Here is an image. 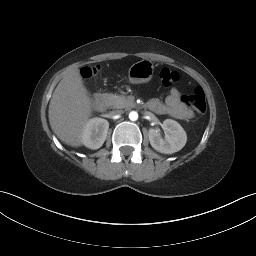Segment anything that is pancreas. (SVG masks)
<instances>
[{
  "instance_id": "obj_1",
  "label": "pancreas",
  "mask_w": 256,
  "mask_h": 256,
  "mask_svg": "<svg viewBox=\"0 0 256 256\" xmlns=\"http://www.w3.org/2000/svg\"><path fill=\"white\" fill-rule=\"evenodd\" d=\"M104 97L108 105L112 108H125L131 105V100L124 95L106 93Z\"/></svg>"
}]
</instances>
